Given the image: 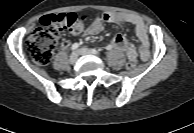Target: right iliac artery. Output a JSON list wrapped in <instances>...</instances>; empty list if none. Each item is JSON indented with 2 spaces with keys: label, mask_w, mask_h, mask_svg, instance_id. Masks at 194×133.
<instances>
[{
  "label": "right iliac artery",
  "mask_w": 194,
  "mask_h": 133,
  "mask_svg": "<svg viewBox=\"0 0 194 133\" xmlns=\"http://www.w3.org/2000/svg\"><path fill=\"white\" fill-rule=\"evenodd\" d=\"M79 47V44L78 43H74L72 46H71V50L74 51L76 49H78Z\"/></svg>",
  "instance_id": "obj_1"
}]
</instances>
